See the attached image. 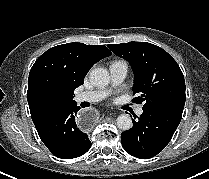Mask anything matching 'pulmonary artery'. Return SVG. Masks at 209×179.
I'll use <instances>...</instances> for the list:
<instances>
[{"label": "pulmonary artery", "instance_id": "pulmonary-artery-1", "mask_svg": "<svg viewBox=\"0 0 209 179\" xmlns=\"http://www.w3.org/2000/svg\"><path fill=\"white\" fill-rule=\"evenodd\" d=\"M111 74V84L113 87L120 85L128 73V65L124 61H115L109 67ZM109 94V89H97L91 91H84L76 95L77 102H99L106 98ZM137 115L143 113L141 107L136 110Z\"/></svg>", "mask_w": 209, "mask_h": 179}]
</instances>
